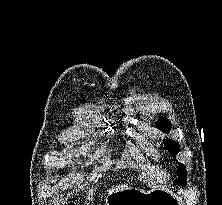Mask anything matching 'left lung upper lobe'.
<instances>
[{"mask_svg": "<svg viewBox=\"0 0 222 205\" xmlns=\"http://www.w3.org/2000/svg\"><path fill=\"white\" fill-rule=\"evenodd\" d=\"M157 128H159L161 131L167 133L168 130L171 128V123L166 118H161L156 123ZM165 148L168 149L172 156L175 158L176 154L180 151L179 144L170 140L166 139L164 140ZM177 173L179 176V179L175 180V184L185 185L186 184V167L179 163Z\"/></svg>", "mask_w": 222, "mask_h": 205, "instance_id": "obj_1", "label": "left lung upper lobe"}]
</instances>
